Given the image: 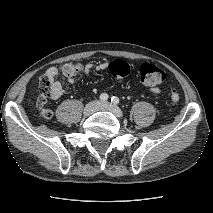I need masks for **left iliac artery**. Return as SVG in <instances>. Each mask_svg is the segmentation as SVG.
<instances>
[{
	"label": "left iliac artery",
	"mask_w": 213,
	"mask_h": 213,
	"mask_svg": "<svg viewBox=\"0 0 213 213\" xmlns=\"http://www.w3.org/2000/svg\"><path fill=\"white\" fill-rule=\"evenodd\" d=\"M111 102H112L113 104H118V103H119V98H118V97H112V98H111Z\"/></svg>",
	"instance_id": "obj_1"
}]
</instances>
